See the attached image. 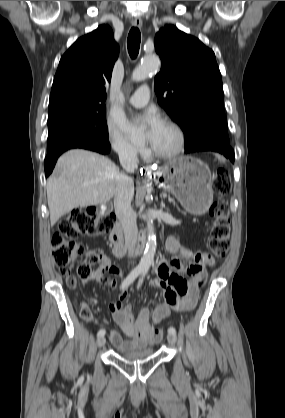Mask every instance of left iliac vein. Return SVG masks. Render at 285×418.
<instances>
[{
    "instance_id": "1",
    "label": "left iliac vein",
    "mask_w": 285,
    "mask_h": 418,
    "mask_svg": "<svg viewBox=\"0 0 285 418\" xmlns=\"http://www.w3.org/2000/svg\"><path fill=\"white\" fill-rule=\"evenodd\" d=\"M168 342L172 345H175L177 343V338L175 336V334H171L169 333L167 336Z\"/></svg>"
}]
</instances>
